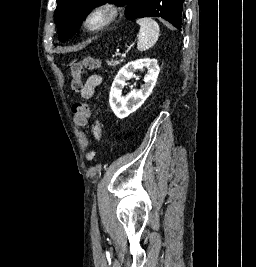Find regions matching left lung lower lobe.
Returning <instances> with one entry per match:
<instances>
[{"label": "left lung lower lobe", "instance_id": "0a47b994", "mask_svg": "<svg viewBox=\"0 0 256 267\" xmlns=\"http://www.w3.org/2000/svg\"><path fill=\"white\" fill-rule=\"evenodd\" d=\"M183 1L184 0H175V9H176L175 27L178 28L179 30L182 29L183 25V16H182Z\"/></svg>", "mask_w": 256, "mask_h": 267}]
</instances>
